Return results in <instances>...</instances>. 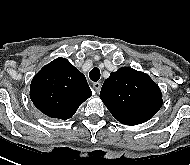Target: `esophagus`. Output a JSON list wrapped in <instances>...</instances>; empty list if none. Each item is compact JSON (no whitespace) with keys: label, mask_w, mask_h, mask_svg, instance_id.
Segmentation results:
<instances>
[{"label":"esophagus","mask_w":190,"mask_h":165,"mask_svg":"<svg viewBox=\"0 0 190 165\" xmlns=\"http://www.w3.org/2000/svg\"><path fill=\"white\" fill-rule=\"evenodd\" d=\"M93 89H94L97 93H99L100 90H101V83H100V82H95V83H93Z\"/></svg>","instance_id":"1"}]
</instances>
